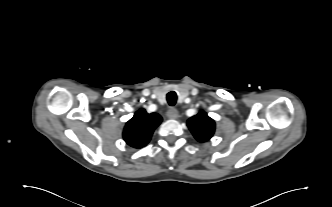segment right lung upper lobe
<instances>
[{"instance_id": "right-lung-upper-lobe-1", "label": "right lung upper lobe", "mask_w": 332, "mask_h": 207, "mask_svg": "<svg viewBox=\"0 0 332 207\" xmlns=\"http://www.w3.org/2000/svg\"><path fill=\"white\" fill-rule=\"evenodd\" d=\"M161 121L159 114H148L145 109H139L125 125L123 131L125 142L133 148L145 146Z\"/></svg>"}]
</instances>
